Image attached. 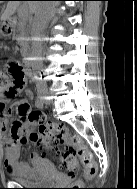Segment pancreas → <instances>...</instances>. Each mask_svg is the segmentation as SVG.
<instances>
[{"instance_id": "obj_1", "label": "pancreas", "mask_w": 137, "mask_h": 189, "mask_svg": "<svg viewBox=\"0 0 137 189\" xmlns=\"http://www.w3.org/2000/svg\"><path fill=\"white\" fill-rule=\"evenodd\" d=\"M17 32L19 33L16 37L17 41L22 45H26L28 41L27 32H26V23L25 21H21L18 24Z\"/></svg>"}]
</instances>
